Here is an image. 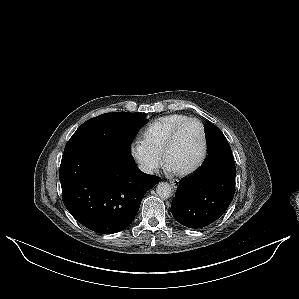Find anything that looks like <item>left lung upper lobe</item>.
<instances>
[{
	"label": "left lung upper lobe",
	"instance_id": "obj_1",
	"mask_svg": "<svg viewBox=\"0 0 299 299\" xmlns=\"http://www.w3.org/2000/svg\"><path fill=\"white\" fill-rule=\"evenodd\" d=\"M205 135L207 141V152L218 149L231 150L222 131L211 122L205 123Z\"/></svg>",
	"mask_w": 299,
	"mask_h": 299
}]
</instances>
